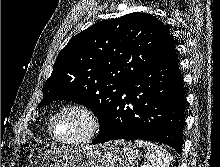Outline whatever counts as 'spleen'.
I'll return each instance as SVG.
<instances>
[{
  "instance_id": "1",
  "label": "spleen",
  "mask_w": 220,
  "mask_h": 167,
  "mask_svg": "<svg viewBox=\"0 0 220 167\" xmlns=\"http://www.w3.org/2000/svg\"><path fill=\"white\" fill-rule=\"evenodd\" d=\"M135 144L146 151L147 161L142 167H169L172 158L164 148L143 140H136Z\"/></svg>"
}]
</instances>
